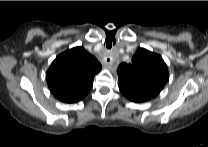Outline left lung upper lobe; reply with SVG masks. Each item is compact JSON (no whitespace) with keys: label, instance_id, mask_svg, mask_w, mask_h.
<instances>
[{"label":"left lung upper lobe","instance_id":"1","mask_svg":"<svg viewBox=\"0 0 208 147\" xmlns=\"http://www.w3.org/2000/svg\"><path fill=\"white\" fill-rule=\"evenodd\" d=\"M119 88L142 94L151 99L160 93L169 73L162 57L138 48L131 63H121L117 69Z\"/></svg>","mask_w":208,"mask_h":147}]
</instances>
